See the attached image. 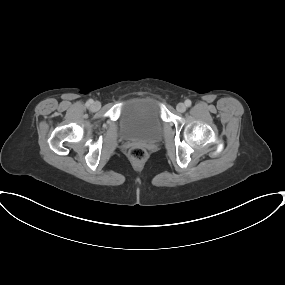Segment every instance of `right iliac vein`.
<instances>
[{
	"label": "right iliac vein",
	"mask_w": 285,
	"mask_h": 285,
	"mask_svg": "<svg viewBox=\"0 0 285 285\" xmlns=\"http://www.w3.org/2000/svg\"><path fill=\"white\" fill-rule=\"evenodd\" d=\"M100 108V103L99 102H94L93 104H92V109L93 110H98Z\"/></svg>",
	"instance_id": "right-iliac-vein-1"
}]
</instances>
